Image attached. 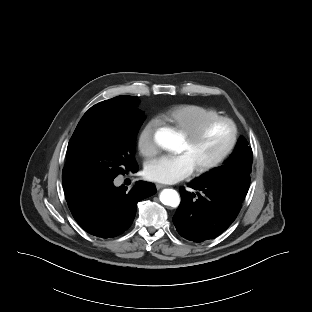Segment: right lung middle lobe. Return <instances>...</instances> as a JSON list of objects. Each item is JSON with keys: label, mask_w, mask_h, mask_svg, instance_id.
<instances>
[{"label": "right lung middle lobe", "mask_w": 312, "mask_h": 312, "mask_svg": "<svg viewBox=\"0 0 312 312\" xmlns=\"http://www.w3.org/2000/svg\"><path fill=\"white\" fill-rule=\"evenodd\" d=\"M139 100L103 101L91 107L78 123L67 148L62 183L66 200L138 168L135 139L144 122Z\"/></svg>", "instance_id": "obj_1"}]
</instances>
